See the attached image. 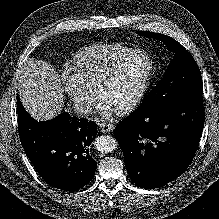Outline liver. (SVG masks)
<instances>
[{"mask_svg":"<svg viewBox=\"0 0 219 219\" xmlns=\"http://www.w3.org/2000/svg\"><path fill=\"white\" fill-rule=\"evenodd\" d=\"M16 79L20 100L33 118L50 120L62 111L63 89L51 65L30 59L21 67Z\"/></svg>","mask_w":219,"mask_h":219,"instance_id":"1","label":"liver"}]
</instances>
